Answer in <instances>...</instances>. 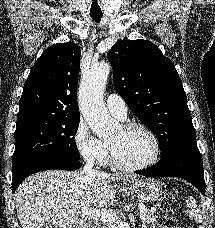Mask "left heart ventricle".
Masks as SVG:
<instances>
[{
    "instance_id": "obj_1",
    "label": "left heart ventricle",
    "mask_w": 215,
    "mask_h": 228,
    "mask_svg": "<svg viewBox=\"0 0 215 228\" xmlns=\"http://www.w3.org/2000/svg\"><path fill=\"white\" fill-rule=\"evenodd\" d=\"M108 142L113 146L117 159L125 165L144 162L152 151L149 136L140 128L125 130L120 126Z\"/></svg>"
}]
</instances>
